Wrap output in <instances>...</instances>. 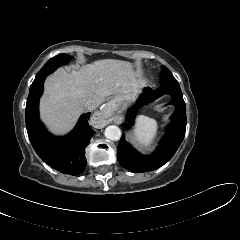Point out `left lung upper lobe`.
<instances>
[{
	"instance_id": "1",
	"label": "left lung upper lobe",
	"mask_w": 240,
	"mask_h": 240,
	"mask_svg": "<svg viewBox=\"0 0 240 240\" xmlns=\"http://www.w3.org/2000/svg\"><path fill=\"white\" fill-rule=\"evenodd\" d=\"M160 84L179 85L169 69L164 65L162 66V72L160 75Z\"/></svg>"
}]
</instances>
